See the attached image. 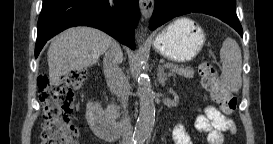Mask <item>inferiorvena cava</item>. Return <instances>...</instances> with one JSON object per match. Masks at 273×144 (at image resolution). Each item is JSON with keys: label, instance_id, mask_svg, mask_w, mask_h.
I'll list each match as a JSON object with an SVG mask.
<instances>
[{"label": "inferior vena cava", "instance_id": "inferior-vena-cava-1", "mask_svg": "<svg viewBox=\"0 0 273 144\" xmlns=\"http://www.w3.org/2000/svg\"><path fill=\"white\" fill-rule=\"evenodd\" d=\"M122 61V52L119 45L114 42L112 47L105 53L103 59L104 75L107 85L117 95L123 107V119L120 125L122 133V144L133 143V132L130 119L128 117V96L125 90V76L119 67Z\"/></svg>", "mask_w": 273, "mask_h": 144}]
</instances>
